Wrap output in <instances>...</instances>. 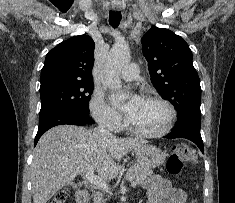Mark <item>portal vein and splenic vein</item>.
Segmentation results:
<instances>
[{"instance_id": "1", "label": "portal vein and splenic vein", "mask_w": 235, "mask_h": 203, "mask_svg": "<svg viewBox=\"0 0 235 203\" xmlns=\"http://www.w3.org/2000/svg\"><path fill=\"white\" fill-rule=\"evenodd\" d=\"M84 178L90 182L91 184H94L95 186L101 188L102 190L104 191H108V185L106 182H104L99 176H96L94 174V171L93 170H88L84 175ZM131 186L132 187H135L136 186V182L133 181L131 183Z\"/></svg>"}]
</instances>
